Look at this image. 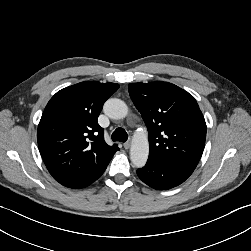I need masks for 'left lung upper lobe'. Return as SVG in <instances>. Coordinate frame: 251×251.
Here are the masks:
<instances>
[{
  "mask_svg": "<svg viewBox=\"0 0 251 251\" xmlns=\"http://www.w3.org/2000/svg\"><path fill=\"white\" fill-rule=\"evenodd\" d=\"M130 97L148 128L149 158L196 168L206 123L192 95L167 82L130 83Z\"/></svg>",
  "mask_w": 251,
  "mask_h": 251,
  "instance_id": "left-lung-upper-lobe-1",
  "label": "left lung upper lobe"
}]
</instances>
